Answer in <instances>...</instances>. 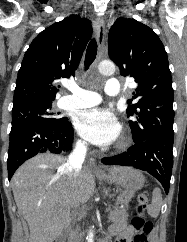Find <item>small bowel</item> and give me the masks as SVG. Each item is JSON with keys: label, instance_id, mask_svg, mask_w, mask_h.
Instances as JSON below:
<instances>
[{"label": "small bowel", "instance_id": "obj_1", "mask_svg": "<svg viewBox=\"0 0 187 242\" xmlns=\"http://www.w3.org/2000/svg\"><path fill=\"white\" fill-rule=\"evenodd\" d=\"M133 234V227L125 221L115 223L109 230V235H117V242H130Z\"/></svg>", "mask_w": 187, "mask_h": 242}]
</instances>
